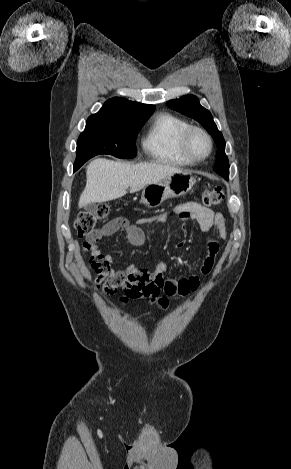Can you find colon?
I'll return each mask as SVG.
<instances>
[{"instance_id":"colon-1","label":"colon","mask_w":291,"mask_h":469,"mask_svg":"<svg viewBox=\"0 0 291 469\" xmlns=\"http://www.w3.org/2000/svg\"><path fill=\"white\" fill-rule=\"evenodd\" d=\"M225 194L222 187L218 186L213 189L204 190L201 196L202 202L205 206H215L220 204L224 200ZM109 213V206L105 203L100 204L95 211H84L80 213L76 220H75V230L79 237L85 238L84 246L89 249V247L100 240L103 236H105L106 231L105 227L97 228L96 225L99 221L104 220ZM90 263L93 269L96 272H102L106 269L107 264L104 263L101 259L91 257ZM153 290V288H151ZM117 302L121 304L123 307H126L128 304L133 302L131 297L122 298L119 297ZM137 303L141 302L140 298L136 299ZM145 303H149L150 299L145 298ZM151 302L154 303L156 307L163 309L167 306L166 300H161V302L157 298H152Z\"/></svg>"}]
</instances>
